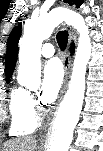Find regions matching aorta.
Returning a JSON list of instances; mask_svg holds the SVG:
<instances>
[{
  "label": "aorta",
  "mask_w": 103,
  "mask_h": 151,
  "mask_svg": "<svg viewBox=\"0 0 103 151\" xmlns=\"http://www.w3.org/2000/svg\"><path fill=\"white\" fill-rule=\"evenodd\" d=\"M66 22L79 32L69 89L62 101L54 122L46 151H68L73 131L78 123L85 93V75L91 56V40L84 18L74 11L55 8L44 16L28 20L20 40L19 80L25 82L40 72L42 42L49 38L55 27Z\"/></svg>",
  "instance_id": "obj_1"
}]
</instances>
